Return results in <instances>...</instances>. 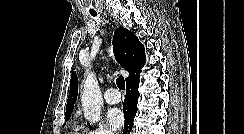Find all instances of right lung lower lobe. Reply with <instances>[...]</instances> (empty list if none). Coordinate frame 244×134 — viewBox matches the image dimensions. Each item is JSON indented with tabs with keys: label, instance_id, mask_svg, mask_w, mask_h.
<instances>
[{
	"label": "right lung lower lobe",
	"instance_id": "1",
	"mask_svg": "<svg viewBox=\"0 0 244 134\" xmlns=\"http://www.w3.org/2000/svg\"><path fill=\"white\" fill-rule=\"evenodd\" d=\"M126 85V96L123 104V111L125 116L123 134H129L133 127V121L137 112V103L139 97V77L127 82Z\"/></svg>",
	"mask_w": 244,
	"mask_h": 134
}]
</instances>
